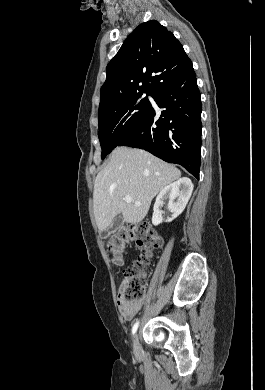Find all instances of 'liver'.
<instances>
[{
  "label": "liver",
  "instance_id": "obj_1",
  "mask_svg": "<svg viewBox=\"0 0 265 390\" xmlns=\"http://www.w3.org/2000/svg\"><path fill=\"white\" fill-rule=\"evenodd\" d=\"M181 177L178 168L141 149L117 147L108 164L98 173L93 192L97 227L106 230L118 214L131 224L147 215L152 199ZM132 197L131 203L124 201ZM140 202L141 205H135Z\"/></svg>",
  "mask_w": 265,
  "mask_h": 390
}]
</instances>
